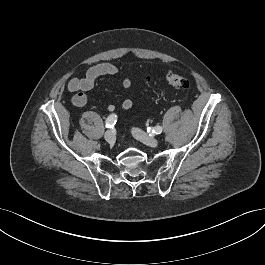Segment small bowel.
Masks as SVG:
<instances>
[{"label": "small bowel", "mask_w": 265, "mask_h": 265, "mask_svg": "<svg viewBox=\"0 0 265 265\" xmlns=\"http://www.w3.org/2000/svg\"><path fill=\"white\" fill-rule=\"evenodd\" d=\"M119 69L116 65L111 63H100L90 67L83 78H72L67 84V89L74 93L72 103L76 107H82L88 102V94L96 81L102 76H112L118 74ZM123 89L128 90L133 86V81L130 78H124L121 81ZM133 101L130 98L124 99L121 103L123 110H128L132 107ZM109 112L115 110V105L110 104L107 107Z\"/></svg>", "instance_id": "1"}]
</instances>
